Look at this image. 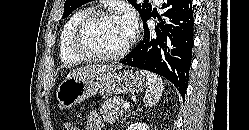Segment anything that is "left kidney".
Segmentation results:
<instances>
[{
	"label": "left kidney",
	"instance_id": "obj_1",
	"mask_svg": "<svg viewBox=\"0 0 249 130\" xmlns=\"http://www.w3.org/2000/svg\"><path fill=\"white\" fill-rule=\"evenodd\" d=\"M149 126L146 123H141V122H135L131 124L128 128V130H148Z\"/></svg>",
	"mask_w": 249,
	"mask_h": 130
}]
</instances>
